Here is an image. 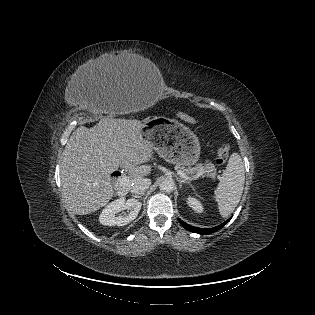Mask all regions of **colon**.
I'll return each instance as SVG.
<instances>
[{"label":"colon","mask_w":315,"mask_h":315,"mask_svg":"<svg viewBox=\"0 0 315 315\" xmlns=\"http://www.w3.org/2000/svg\"><path fill=\"white\" fill-rule=\"evenodd\" d=\"M179 118L190 124H194L196 122L194 117L184 112L179 113ZM229 155H230L229 146L226 144H222L218 148L217 153H216V158H215L216 163L220 165L226 163V161L229 158Z\"/></svg>","instance_id":"colon-1"}]
</instances>
